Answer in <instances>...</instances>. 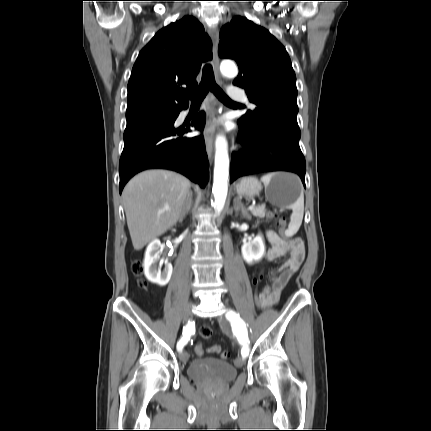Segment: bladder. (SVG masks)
<instances>
[{"mask_svg": "<svg viewBox=\"0 0 431 431\" xmlns=\"http://www.w3.org/2000/svg\"><path fill=\"white\" fill-rule=\"evenodd\" d=\"M189 378L207 385H226L233 382L238 371L231 363L216 358L196 359L187 369Z\"/></svg>", "mask_w": 431, "mask_h": 431, "instance_id": "obj_1", "label": "bladder"}]
</instances>
